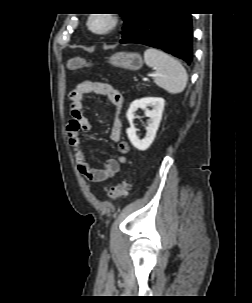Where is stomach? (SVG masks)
I'll use <instances>...</instances> for the list:
<instances>
[{"instance_id": "obj_1", "label": "stomach", "mask_w": 252, "mask_h": 303, "mask_svg": "<svg viewBox=\"0 0 252 303\" xmlns=\"http://www.w3.org/2000/svg\"><path fill=\"white\" fill-rule=\"evenodd\" d=\"M111 65L129 70H138L143 66L142 57L137 53L118 52L109 58Z\"/></svg>"}]
</instances>
